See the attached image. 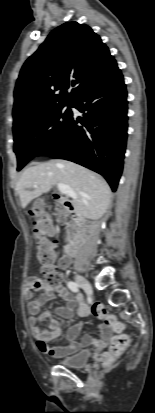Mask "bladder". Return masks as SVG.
<instances>
[{"mask_svg":"<svg viewBox=\"0 0 155 413\" xmlns=\"http://www.w3.org/2000/svg\"><path fill=\"white\" fill-rule=\"evenodd\" d=\"M89 356L90 352L88 350H82L72 356L61 359L60 364L73 369L82 368L88 363Z\"/></svg>","mask_w":155,"mask_h":413,"instance_id":"31cf9c89","label":"bladder"}]
</instances>
